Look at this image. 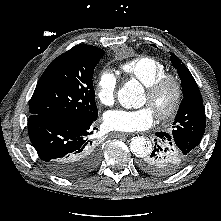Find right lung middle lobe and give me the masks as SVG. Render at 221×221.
<instances>
[{"label": "right lung middle lobe", "instance_id": "right-lung-middle-lobe-1", "mask_svg": "<svg viewBox=\"0 0 221 221\" xmlns=\"http://www.w3.org/2000/svg\"><path fill=\"white\" fill-rule=\"evenodd\" d=\"M104 54L95 46L79 45L54 59L36 85L30 114L76 119L97 115L92 78Z\"/></svg>", "mask_w": 221, "mask_h": 221}]
</instances>
